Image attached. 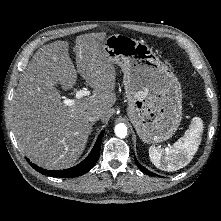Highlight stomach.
<instances>
[{"label": "stomach", "mask_w": 221, "mask_h": 221, "mask_svg": "<svg viewBox=\"0 0 221 221\" xmlns=\"http://www.w3.org/2000/svg\"><path fill=\"white\" fill-rule=\"evenodd\" d=\"M103 49L124 74L128 116L145 143H161L175 133L182 119V90L170 68L147 44L112 34Z\"/></svg>", "instance_id": "1"}]
</instances>
